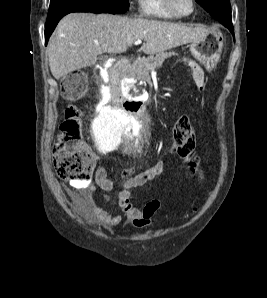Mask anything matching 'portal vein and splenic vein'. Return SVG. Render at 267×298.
Wrapping results in <instances>:
<instances>
[{"label": "portal vein and splenic vein", "instance_id": "obj_1", "mask_svg": "<svg viewBox=\"0 0 267 298\" xmlns=\"http://www.w3.org/2000/svg\"><path fill=\"white\" fill-rule=\"evenodd\" d=\"M141 43H142L141 40H136V41L134 42L135 45H139V44H141Z\"/></svg>", "mask_w": 267, "mask_h": 298}]
</instances>
